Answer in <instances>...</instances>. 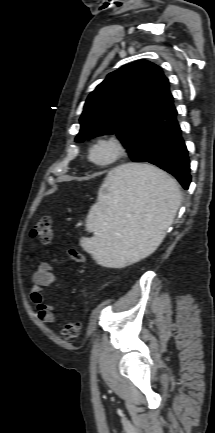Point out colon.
<instances>
[{
    "label": "colon",
    "mask_w": 215,
    "mask_h": 433,
    "mask_svg": "<svg viewBox=\"0 0 215 433\" xmlns=\"http://www.w3.org/2000/svg\"><path fill=\"white\" fill-rule=\"evenodd\" d=\"M31 236L37 238L41 244L49 245L52 240V222L50 217H41L31 229ZM68 255L76 263L84 261L82 254L76 249H70ZM80 329V323L67 322L62 327V334L66 339H75L79 336Z\"/></svg>",
    "instance_id": "5ec220e1"
}]
</instances>
